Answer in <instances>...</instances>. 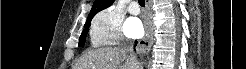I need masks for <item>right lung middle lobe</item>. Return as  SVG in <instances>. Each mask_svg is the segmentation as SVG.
<instances>
[{
    "mask_svg": "<svg viewBox=\"0 0 246 69\" xmlns=\"http://www.w3.org/2000/svg\"><path fill=\"white\" fill-rule=\"evenodd\" d=\"M90 23H91V21H87L86 23H85V28L86 29H84L83 30V32H82V34H81V36H80V40H79V46L80 47H82V46H84V44H85V38H86V35H87V33H88V27L90 26Z\"/></svg>",
    "mask_w": 246,
    "mask_h": 69,
    "instance_id": "obj_1",
    "label": "right lung middle lobe"
}]
</instances>
